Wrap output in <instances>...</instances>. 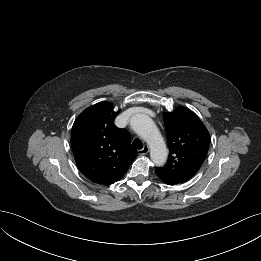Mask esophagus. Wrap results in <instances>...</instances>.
Returning a JSON list of instances; mask_svg holds the SVG:
<instances>
[{"label":"esophagus","mask_w":261,"mask_h":261,"mask_svg":"<svg viewBox=\"0 0 261 261\" xmlns=\"http://www.w3.org/2000/svg\"><path fill=\"white\" fill-rule=\"evenodd\" d=\"M149 152V147L148 145H144V147L140 150H138L139 155H146Z\"/></svg>","instance_id":"1"}]
</instances>
